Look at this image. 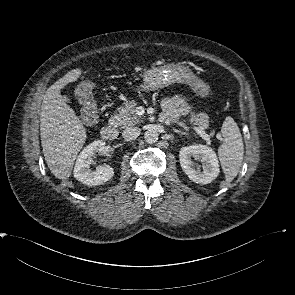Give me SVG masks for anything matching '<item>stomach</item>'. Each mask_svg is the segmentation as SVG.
<instances>
[{"label":"stomach","mask_w":295,"mask_h":295,"mask_svg":"<svg viewBox=\"0 0 295 295\" xmlns=\"http://www.w3.org/2000/svg\"><path fill=\"white\" fill-rule=\"evenodd\" d=\"M174 83L189 85L193 92L206 98L210 94V86L196 76L189 67L178 64H169L153 67L143 73V84L139 86L141 91H153L167 87Z\"/></svg>","instance_id":"stomach-1"}]
</instances>
